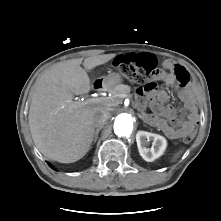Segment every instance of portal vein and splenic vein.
Listing matches in <instances>:
<instances>
[{"label":"portal vein and splenic vein","mask_w":221,"mask_h":221,"mask_svg":"<svg viewBox=\"0 0 221 221\" xmlns=\"http://www.w3.org/2000/svg\"><path fill=\"white\" fill-rule=\"evenodd\" d=\"M124 97H128V96H124ZM105 101H106V99H104V98H90V99L86 100L84 103L89 105V104H98V103H102Z\"/></svg>","instance_id":"obj_1"}]
</instances>
